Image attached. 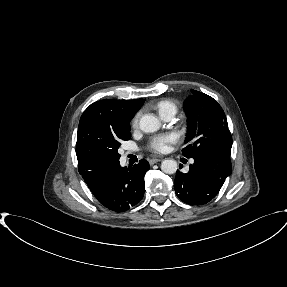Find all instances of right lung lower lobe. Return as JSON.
Returning a JSON list of instances; mask_svg holds the SVG:
<instances>
[{
	"instance_id": "obj_1",
	"label": "right lung lower lobe",
	"mask_w": 287,
	"mask_h": 287,
	"mask_svg": "<svg viewBox=\"0 0 287 287\" xmlns=\"http://www.w3.org/2000/svg\"><path fill=\"white\" fill-rule=\"evenodd\" d=\"M149 168V163L144 159L129 168L121 167L117 161L103 166L88 187L105 208L124 212L143 198L144 176Z\"/></svg>"
}]
</instances>
